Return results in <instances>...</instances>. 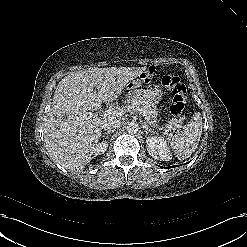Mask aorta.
Segmentation results:
<instances>
[{"instance_id": "1", "label": "aorta", "mask_w": 247, "mask_h": 247, "mask_svg": "<svg viewBox=\"0 0 247 247\" xmlns=\"http://www.w3.org/2000/svg\"><path fill=\"white\" fill-rule=\"evenodd\" d=\"M138 123L137 122H129L126 126V130L128 133H137L138 132Z\"/></svg>"}]
</instances>
